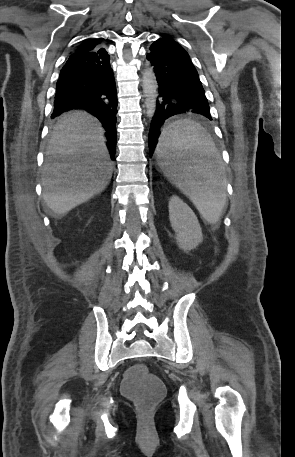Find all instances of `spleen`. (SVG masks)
<instances>
[{
  "instance_id": "1",
  "label": "spleen",
  "mask_w": 295,
  "mask_h": 457,
  "mask_svg": "<svg viewBox=\"0 0 295 457\" xmlns=\"http://www.w3.org/2000/svg\"><path fill=\"white\" fill-rule=\"evenodd\" d=\"M156 154L166 176L201 216L210 224L218 222L226 203V179L206 130L192 120L175 121L163 129Z\"/></svg>"
}]
</instances>
